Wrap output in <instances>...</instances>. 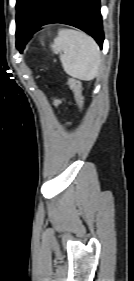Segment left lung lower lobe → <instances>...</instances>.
<instances>
[{
    "label": "left lung lower lobe",
    "mask_w": 134,
    "mask_h": 281,
    "mask_svg": "<svg viewBox=\"0 0 134 281\" xmlns=\"http://www.w3.org/2000/svg\"><path fill=\"white\" fill-rule=\"evenodd\" d=\"M50 23H62L79 28L90 34L102 48L104 35L100 0H42L26 27L16 32V45L20 52L30 36L39 27Z\"/></svg>",
    "instance_id": "obj_1"
}]
</instances>
